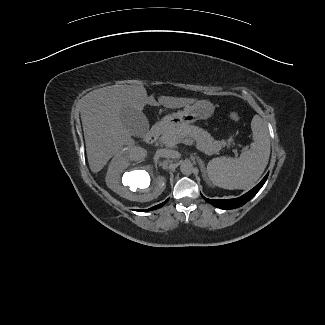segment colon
<instances>
[{
    "instance_id": "obj_1",
    "label": "colon",
    "mask_w": 325,
    "mask_h": 325,
    "mask_svg": "<svg viewBox=\"0 0 325 325\" xmlns=\"http://www.w3.org/2000/svg\"><path fill=\"white\" fill-rule=\"evenodd\" d=\"M230 118H231L232 120H234V121H238V120H239V116H238V114L235 113V112H231V113H230Z\"/></svg>"
}]
</instances>
